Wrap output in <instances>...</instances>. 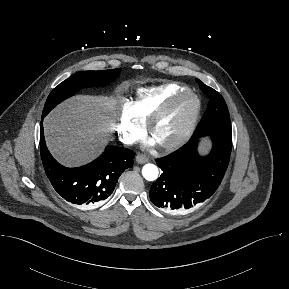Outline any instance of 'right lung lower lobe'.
<instances>
[{"mask_svg":"<svg viewBox=\"0 0 289 289\" xmlns=\"http://www.w3.org/2000/svg\"><path fill=\"white\" fill-rule=\"evenodd\" d=\"M40 125V152L43 166L52 186L66 201L76 205H93L104 201L113 192L118 178L133 166L135 152L127 148L107 146L93 162L67 168L59 164L46 147Z\"/></svg>","mask_w":289,"mask_h":289,"instance_id":"98d812e1","label":"right lung lower lobe"}]
</instances>
